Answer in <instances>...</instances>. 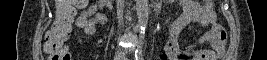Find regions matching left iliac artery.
<instances>
[{
	"mask_svg": "<svg viewBox=\"0 0 267 60\" xmlns=\"http://www.w3.org/2000/svg\"><path fill=\"white\" fill-rule=\"evenodd\" d=\"M136 60H143V55L139 54L138 56H136Z\"/></svg>",
	"mask_w": 267,
	"mask_h": 60,
	"instance_id": "44dca946",
	"label": "left iliac artery"
}]
</instances>
